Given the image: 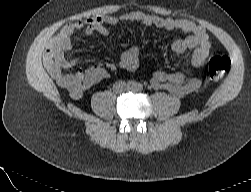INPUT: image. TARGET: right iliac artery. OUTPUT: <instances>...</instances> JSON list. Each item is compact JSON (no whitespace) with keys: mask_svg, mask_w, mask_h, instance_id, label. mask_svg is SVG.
Wrapping results in <instances>:
<instances>
[{"mask_svg":"<svg viewBox=\"0 0 251 192\" xmlns=\"http://www.w3.org/2000/svg\"><path fill=\"white\" fill-rule=\"evenodd\" d=\"M129 85H130V86H134L135 83H134L133 81H130V82H129Z\"/></svg>","mask_w":251,"mask_h":192,"instance_id":"right-iliac-artery-1","label":"right iliac artery"}]
</instances>
